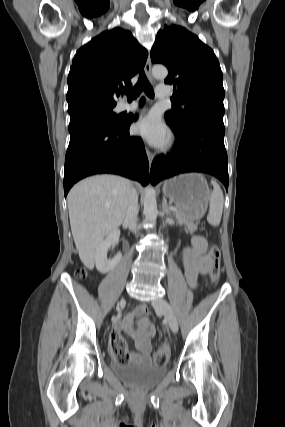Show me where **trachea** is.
Instances as JSON below:
<instances>
[{"label": "trachea", "instance_id": "trachea-1", "mask_svg": "<svg viewBox=\"0 0 285 427\" xmlns=\"http://www.w3.org/2000/svg\"><path fill=\"white\" fill-rule=\"evenodd\" d=\"M142 90H144L148 97L154 98V90L143 71L140 72L139 79L136 85L130 89H123L122 92L127 95L128 100H132L136 99L140 95Z\"/></svg>", "mask_w": 285, "mask_h": 427}]
</instances>
